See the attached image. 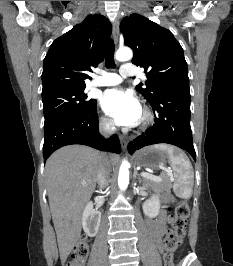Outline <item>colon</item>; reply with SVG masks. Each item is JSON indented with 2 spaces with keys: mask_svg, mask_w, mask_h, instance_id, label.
<instances>
[{
  "mask_svg": "<svg viewBox=\"0 0 233 266\" xmlns=\"http://www.w3.org/2000/svg\"><path fill=\"white\" fill-rule=\"evenodd\" d=\"M171 210L172 213L168 219L170 228L164 241L165 266H174L173 255L184 240L190 214L189 205L186 200H180ZM88 251L89 246L87 239L86 237H82L76 244L71 260L67 262L66 266H85Z\"/></svg>",
  "mask_w": 233,
  "mask_h": 266,
  "instance_id": "5ec220e1",
  "label": "colon"
}]
</instances>
